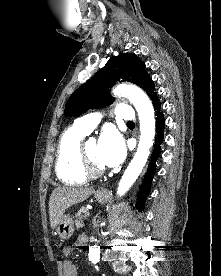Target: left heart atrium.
<instances>
[{"label": "left heart atrium", "mask_w": 221, "mask_h": 276, "mask_svg": "<svg viewBox=\"0 0 221 276\" xmlns=\"http://www.w3.org/2000/svg\"><path fill=\"white\" fill-rule=\"evenodd\" d=\"M126 155L122 136L114 129L103 131L99 142L97 156L103 166L113 167L120 164Z\"/></svg>", "instance_id": "left-heart-atrium-1"}]
</instances>
